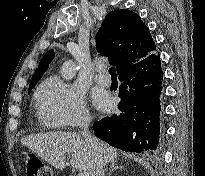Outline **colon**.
I'll use <instances>...</instances> for the list:
<instances>
[{
    "label": "colon",
    "mask_w": 205,
    "mask_h": 176,
    "mask_svg": "<svg viewBox=\"0 0 205 176\" xmlns=\"http://www.w3.org/2000/svg\"><path fill=\"white\" fill-rule=\"evenodd\" d=\"M26 164V176H52V171L49 166L33 153H26L24 156Z\"/></svg>",
    "instance_id": "colon-1"
}]
</instances>
